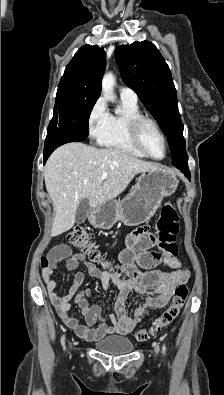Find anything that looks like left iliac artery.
<instances>
[{
    "instance_id": "left-iliac-artery-1",
    "label": "left iliac artery",
    "mask_w": 224,
    "mask_h": 395,
    "mask_svg": "<svg viewBox=\"0 0 224 395\" xmlns=\"http://www.w3.org/2000/svg\"><path fill=\"white\" fill-rule=\"evenodd\" d=\"M162 350H163V352H165V351H166V347H165V345H163V348H162Z\"/></svg>"
}]
</instances>
